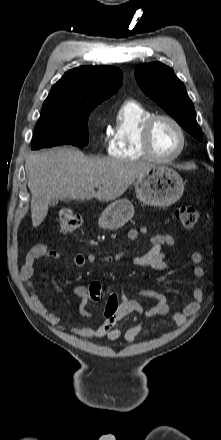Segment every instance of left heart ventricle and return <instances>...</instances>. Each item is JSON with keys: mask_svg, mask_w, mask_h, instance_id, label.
I'll return each instance as SVG.
<instances>
[{"mask_svg": "<svg viewBox=\"0 0 221 440\" xmlns=\"http://www.w3.org/2000/svg\"><path fill=\"white\" fill-rule=\"evenodd\" d=\"M152 145L159 156L173 155L180 146L178 130L169 121L159 120L153 129Z\"/></svg>", "mask_w": 221, "mask_h": 440, "instance_id": "1", "label": "left heart ventricle"}]
</instances>
